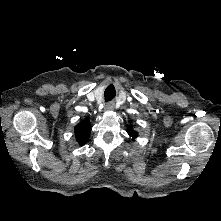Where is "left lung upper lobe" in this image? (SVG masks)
Listing matches in <instances>:
<instances>
[{
    "label": "left lung upper lobe",
    "instance_id": "left-lung-upper-lobe-1",
    "mask_svg": "<svg viewBox=\"0 0 221 221\" xmlns=\"http://www.w3.org/2000/svg\"><path fill=\"white\" fill-rule=\"evenodd\" d=\"M127 133L129 134V136L133 137L134 139L137 137V132L132 130L131 125L127 127Z\"/></svg>",
    "mask_w": 221,
    "mask_h": 221
}]
</instances>
